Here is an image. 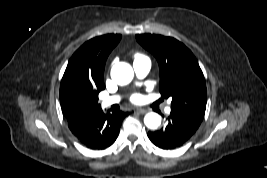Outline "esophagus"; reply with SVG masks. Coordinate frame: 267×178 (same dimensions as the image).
Instances as JSON below:
<instances>
[{
    "instance_id": "1",
    "label": "esophagus",
    "mask_w": 267,
    "mask_h": 178,
    "mask_svg": "<svg viewBox=\"0 0 267 178\" xmlns=\"http://www.w3.org/2000/svg\"><path fill=\"white\" fill-rule=\"evenodd\" d=\"M136 112H138L140 114H145V113L148 112V110L147 109H141V108H139V109H136Z\"/></svg>"
}]
</instances>
